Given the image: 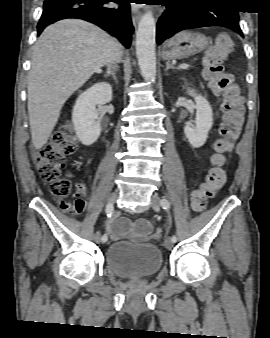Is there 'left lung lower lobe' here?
<instances>
[{"mask_svg":"<svg viewBox=\"0 0 270 338\" xmlns=\"http://www.w3.org/2000/svg\"><path fill=\"white\" fill-rule=\"evenodd\" d=\"M157 24L156 41L161 44L189 28L222 26L243 35L237 10L226 9L210 0H170Z\"/></svg>","mask_w":270,"mask_h":338,"instance_id":"obj_1","label":"left lung lower lobe"}]
</instances>
